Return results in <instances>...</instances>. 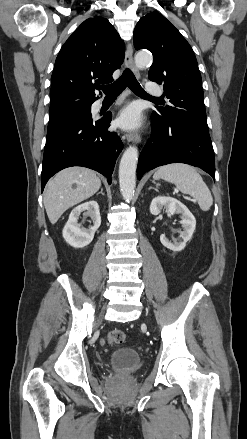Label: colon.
I'll use <instances>...</instances> for the list:
<instances>
[{
  "instance_id": "obj_1",
  "label": "colon",
  "mask_w": 247,
  "mask_h": 439,
  "mask_svg": "<svg viewBox=\"0 0 247 439\" xmlns=\"http://www.w3.org/2000/svg\"><path fill=\"white\" fill-rule=\"evenodd\" d=\"M126 335L120 330H114L108 334L107 341L111 346H117L124 343Z\"/></svg>"
}]
</instances>
